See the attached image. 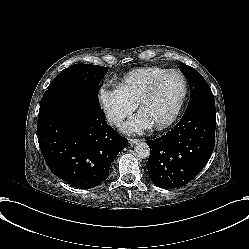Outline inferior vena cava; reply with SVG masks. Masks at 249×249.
<instances>
[{
	"instance_id": "obj_1",
	"label": "inferior vena cava",
	"mask_w": 249,
	"mask_h": 249,
	"mask_svg": "<svg viewBox=\"0 0 249 249\" xmlns=\"http://www.w3.org/2000/svg\"><path fill=\"white\" fill-rule=\"evenodd\" d=\"M108 122L111 124V125H114V126H119L121 125L122 123V117H120L119 115L113 113V112H110L108 114Z\"/></svg>"
}]
</instances>
